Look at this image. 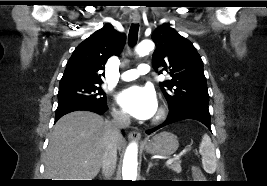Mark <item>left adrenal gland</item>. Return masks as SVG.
Listing matches in <instances>:
<instances>
[{"instance_id": "1", "label": "left adrenal gland", "mask_w": 267, "mask_h": 186, "mask_svg": "<svg viewBox=\"0 0 267 186\" xmlns=\"http://www.w3.org/2000/svg\"><path fill=\"white\" fill-rule=\"evenodd\" d=\"M152 166H153V163H152V162H149V164H148V168H147V171H146L147 174L149 173L150 168H151Z\"/></svg>"}]
</instances>
